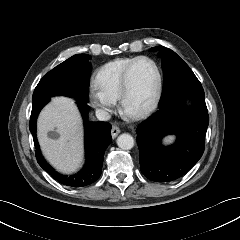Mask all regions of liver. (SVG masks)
Wrapping results in <instances>:
<instances>
[{
    "mask_svg": "<svg viewBox=\"0 0 240 240\" xmlns=\"http://www.w3.org/2000/svg\"><path fill=\"white\" fill-rule=\"evenodd\" d=\"M38 139L46 159L59 171H75L83 155L82 125L72 99L54 97L41 112L38 122ZM56 130L57 139L49 137Z\"/></svg>",
    "mask_w": 240,
    "mask_h": 240,
    "instance_id": "obj_1",
    "label": "liver"
}]
</instances>
